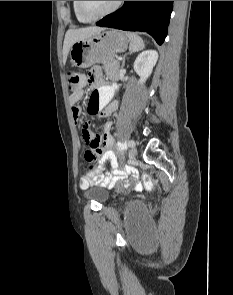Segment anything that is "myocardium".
Segmentation results:
<instances>
[{
    "label": "myocardium",
    "mask_w": 233,
    "mask_h": 295,
    "mask_svg": "<svg viewBox=\"0 0 233 295\" xmlns=\"http://www.w3.org/2000/svg\"><path fill=\"white\" fill-rule=\"evenodd\" d=\"M122 3H123V1H116L110 9H108L107 11H105L101 14H98V15H90L87 12H85V10L83 9V6H82V1H76V6H77L78 13L82 17L92 21V20H97V19L106 17L108 15H111L112 13H114L115 11H117L120 8Z\"/></svg>",
    "instance_id": "obj_1"
}]
</instances>
